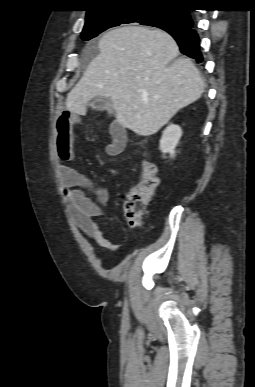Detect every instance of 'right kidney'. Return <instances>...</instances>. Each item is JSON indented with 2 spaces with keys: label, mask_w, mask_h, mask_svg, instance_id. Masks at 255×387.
I'll return each mask as SVG.
<instances>
[{
  "label": "right kidney",
  "mask_w": 255,
  "mask_h": 387,
  "mask_svg": "<svg viewBox=\"0 0 255 387\" xmlns=\"http://www.w3.org/2000/svg\"><path fill=\"white\" fill-rule=\"evenodd\" d=\"M182 136V130L178 125H169L162 134L160 150L163 154L169 153L170 157L175 156V148Z\"/></svg>",
  "instance_id": "right-kidney-1"
}]
</instances>
